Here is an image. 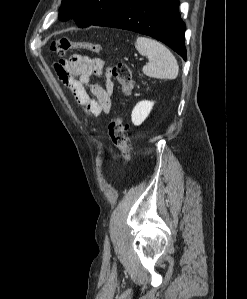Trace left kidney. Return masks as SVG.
Listing matches in <instances>:
<instances>
[{"label":"left kidney","instance_id":"5707ae66","mask_svg":"<svg viewBox=\"0 0 247 299\" xmlns=\"http://www.w3.org/2000/svg\"><path fill=\"white\" fill-rule=\"evenodd\" d=\"M154 102L143 100L136 104V106L132 110L131 120L132 123L136 126H139L144 122V120L150 114Z\"/></svg>","mask_w":247,"mask_h":299}]
</instances>
